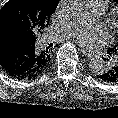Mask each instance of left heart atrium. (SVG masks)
I'll list each match as a JSON object with an SVG mask.
<instances>
[{
	"label": "left heart atrium",
	"instance_id": "39dd6f15",
	"mask_svg": "<svg viewBox=\"0 0 118 118\" xmlns=\"http://www.w3.org/2000/svg\"><path fill=\"white\" fill-rule=\"evenodd\" d=\"M73 37L75 40L85 46H94L97 44L105 43L108 35L105 29L100 27L81 28L77 30Z\"/></svg>",
	"mask_w": 118,
	"mask_h": 118
}]
</instances>
